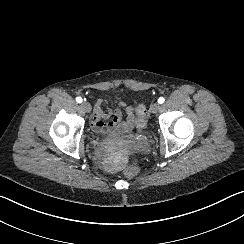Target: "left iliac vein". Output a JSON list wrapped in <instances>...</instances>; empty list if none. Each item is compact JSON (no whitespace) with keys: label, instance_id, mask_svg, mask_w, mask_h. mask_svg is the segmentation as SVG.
Wrapping results in <instances>:
<instances>
[{"label":"left iliac vein","instance_id":"obj_1","mask_svg":"<svg viewBox=\"0 0 244 244\" xmlns=\"http://www.w3.org/2000/svg\"><path fill=\"white\" fill-rule=\"evenodd\" d=\"M161 109V105L160 104H158V103H154V104H152V106L150 107V111L152 112V113H157L159 110Z\"/></svg>","mask_w":244,"mask_h":244}]
</instances>
